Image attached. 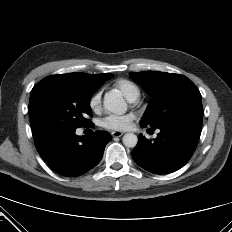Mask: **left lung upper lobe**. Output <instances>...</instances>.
<instances>
[{"instance_id":"1","label":"left lung upper lobe","mask_w":232,"mask_h":232,"mask_svg":"<svg viewBox=\"0 0 232 232\" xmlns=\"http://www.w3.org/2000/svg\"><path fill=\"white\" fill-rule=\"evenodd\" d=\"M152 97L140 123L151 127L181 116L202 115L201 94L187 77L159 71L130 72Z\"/></svg>"}]
</instances>
